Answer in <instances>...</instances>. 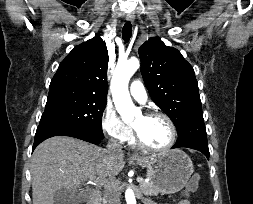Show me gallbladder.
<instances>
[{"instance_id":"obj_1","label":"gallbladder","mask_w":253,"mask_h":204,"mask_svg":"<svg viewBox=\"0 0 253 204\" xmlns=\"http://www.w3.org/2000/svg\"><path fill=\"white\" fill-rule=\"evenodd\" d=\"M90 191L85 189L81 192L75 190L61 189L54 194V204H80L87 201Z\"/></svg>"}]
</instances>
